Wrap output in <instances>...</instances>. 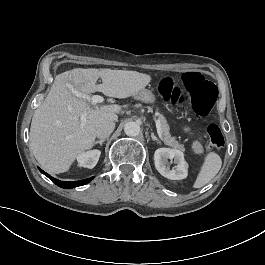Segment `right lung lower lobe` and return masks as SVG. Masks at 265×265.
<instances>
[{
	"mask_svg": "<svg viewBox=\"0 0 265 265\" xmlns=\"http://www.w3.org/2000/svg\"><path fill=\"white\" fill-rule=\"evenodd\" d=\"M40 171L61 188H74L77 186H81V185L89 183L94 178V177H91V178H87V179L80 180V181L66 182V181H60V180L54 179L53 177H51L50 175H48L41 169Z\"/></svg>",
	"mask_w": 265,
	"mask_h": 265,
	"instance_id": "obj_1",
	"label": "right lung lower lobe"
}]
</instances>
